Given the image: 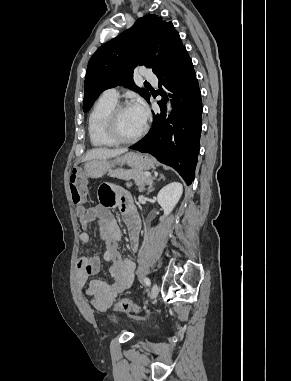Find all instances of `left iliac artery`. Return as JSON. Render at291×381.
Instances as JSON below:
<instances>
[{"mask_svg": "<svg viewBox=\"0 0 291 381\" xmlns=\"http://www.w3.org/2000/svg\"><path fill=\"white\" fill-rule=\"evenodd\" d=\"M144 283L147 285V286H150L151 285V281L148 277H145L144 278Z\"/></svg>", "mask_w": 291, "mask_h": 381, "instance_id": "left-iliac-artery-1", "label": "left iliac artery"}]
</instances>
